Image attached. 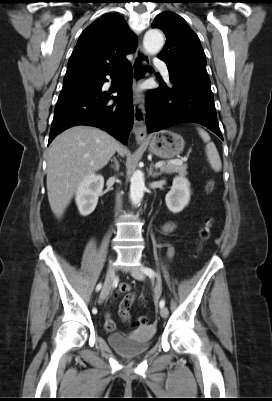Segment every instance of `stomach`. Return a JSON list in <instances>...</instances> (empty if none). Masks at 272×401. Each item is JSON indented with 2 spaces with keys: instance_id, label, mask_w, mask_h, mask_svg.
<instances>
[{
  "instance_id": "1",
  "label": "stomach",
  "mask_w": 272,
  "mask_h": 401,
  "mask_svg": "<svg viewBox=\"0 0 272 401\" xmlns=\"http://www.w3.org/2000/svg\"><path fill=\"white\" fill-rule=\"evenodd\" d=\"M185 146L183 137L171 130H161L150 137L149 151L160 158L171 159L179 155Z\"/></svg>"
}]
</instances>
